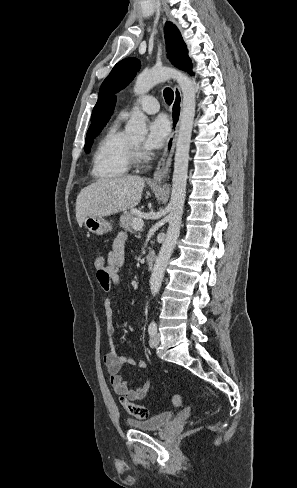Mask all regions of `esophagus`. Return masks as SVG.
<instances>
[{"instance_id":"1","label":"esophagus","mask_w":297,"mask_h":488,"mask_svg":"<svg viewBox=\"0 0 297 488\" xmlns=\"http://www.w3.org/2000/svg\"><path fill=\"white\" fill-rule=\"evenodd\" d=\"M181 113H182V94H181L180 87L176 84L174 86V100L171 106V132L168 137L164 153L161 159L159 160L153 175V180L155 182H160L168 173L172 161V156L175 150Z\"/></svg>"}]
</instances>
